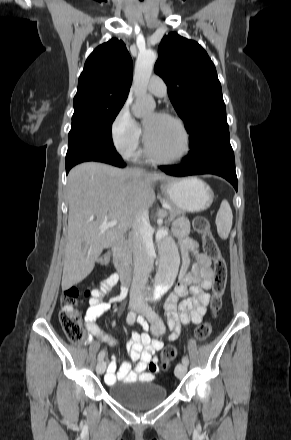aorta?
Listing matches in <instances>:
<instances>
[{
	"label": "aorta",
	"instance_id": "aorta-1",
	"mask_svg": "<svg viewBox=\"0 0 291 440\" xmlns=\"http://www.w3.org/2000/svg\"><path fill=\"white\" fill-rule=\"evenodd\" d=\"M157 60V54L152 50H146L138 54L135 73V102L132 106L133 114L142 118L154 111L156 103L151 95L147 93V86ZM156 243L159 251V266L155 277V297H160L172 286L178 265L179 253L174 239L165 231L159 230L156 235Z\"/></svg>",
	"mask_w": 291,
	"mask_h": 440
}]
</instances>
